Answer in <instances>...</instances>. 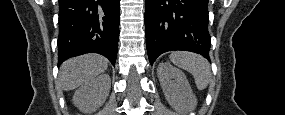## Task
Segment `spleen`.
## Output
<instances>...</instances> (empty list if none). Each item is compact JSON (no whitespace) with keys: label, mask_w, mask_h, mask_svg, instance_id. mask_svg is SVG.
<instances>
[{"label":"spleen","mask_w":285,"mask_h":115,"mask_svg":"<svg viewBox=\"0 0 285 115\" xmlns=\"http://www.w3.org/2000/svg\"><path fill=\"white\" fill-rule=\"evenodd\" d=\"M169 58L174 65L193 75L199 90L207 88L212 74L210 64L203 56L192 52L176 51L172 52Z\"/></svg>","instance_id":"obj_1"}]
</instances>
